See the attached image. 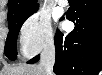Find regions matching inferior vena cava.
<instances>
[{"mask_svg":"<svg viewBox=\"0 0 102 75\" xmlns=\"http://www.w3.org/2000/svg\"><path fill=\"white\" fill-rule=\"evenodd\" d=\"M54 63H55V45L53 41H50L46 45L41 54L40 65L44 67L47 75H53Z\"/></svg>","mask_w":102,"mask_h":75,"instance_id":"1","label":"inferior vena cava"}]
</instances>
